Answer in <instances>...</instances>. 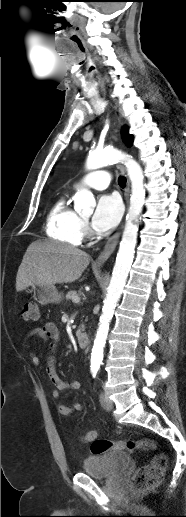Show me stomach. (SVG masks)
<instances>
[{"label":"stomach","instance_id":"stomach-1","mask_svg":"<svg viewBox=\"0 0 186 517\" xmlns=\"http://www.w3.org/2000/svg\"><path fill=\"white\" fill-rule=\"evenodd\" d=\"M30 293L41 305L60 303L63 299V293H59L54 285H33Z\"/></svg>","mask_w":186,"mask_h":517}]
</instances>
